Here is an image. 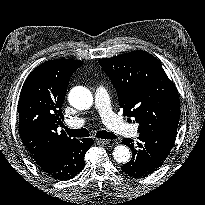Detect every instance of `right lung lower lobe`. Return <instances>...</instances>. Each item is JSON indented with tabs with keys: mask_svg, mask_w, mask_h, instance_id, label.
I'll use <instances>...</instances> for the list:
<instances>
[{
	"mask_svg": "<svg viewBox=\"0 0 205 205\" xmlns=\"http://www.w3.org/2000/svg\"><path fill=\"white\" fill-rule=\"evenodd\" d=\"M91 138L76 140L58 153L37 162L39 168L58 180H69L81 172L84 167V156L93 145Z\"/></svg>",
	"mask_w": 205,
	"mask_h": 205,
	"instance_id": "98d812e1",
	"label": "right lung lower lobe"
}]
</instances>
